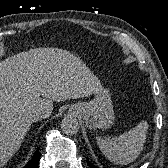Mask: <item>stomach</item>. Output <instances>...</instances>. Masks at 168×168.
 Segmentation results:
<instances>
[{
    "instance_id": "obj_1",
    "label": "stomach",
    "mask_w": 168,
    "mask_h": 168,
    "mask_svg": "<svg viewBox=\"0 0 168 168\" xmlns=\"http://www.w3.org/2000/svg\"><path fill=\"white\" fill-rule=\"evenodd\" d=\"M70 111L84 119L89 128H108L114 122V110L109 90L101 89L89 102L77 103Z\"/></svg>"
}]
</instances>
